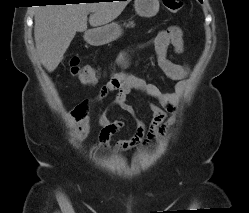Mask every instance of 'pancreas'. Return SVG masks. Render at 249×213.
Instances as JSON below:
<instances>
[{
    "label": "pancreas",
    "mask_w": 249,
    "mask_h": 213,
    "mask_svg": "<svg viewBox=\"0 0 249 213\" xmlns=\"http://www.w3.org/2000/svg\"><path fill=\"white\" fill-rule=\"evenodd\" d=\"M134 22L133 21H129L127 24H126V27H134Z\"/></svg>",
    "instance_id": "cf45deb5"
}]
</instances>
